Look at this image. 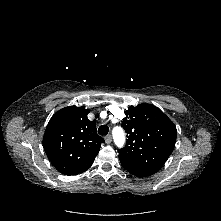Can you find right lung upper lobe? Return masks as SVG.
<instances>
[{"label":"right lung upper lobe","mask_w":221,"mask_h":221,"mask_svg":"<svg viewBox=\"0 0 221 221\" xmlns=\"http://www.w3.org/2000/svg\"><path fill=\"white\" fill-rule=\"evenodd\" d=\"M88 113L83 106H69L56 112L47 125L45 152L64 175H77L90 168L104 142L96 133V124L88 120Z\"/></svg>","instance_id":"cb5924a9"}]
</instances>
